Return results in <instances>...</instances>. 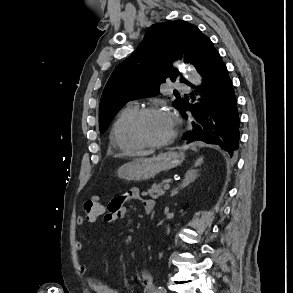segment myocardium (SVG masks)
Instances as JSON below:
<instances>
[{
  "label": "myocardium",
  "instance_id": "f54148a6",
  "mask_svg": "<svg viewBox=\"0 0 293 293\" xmlns=\"http://www.w3.org/2000/svg\"><path fill=\"white\" fill-rule=\"evenodd\" d=\"M160 111L166 112L170 115L172 122H173V130H172L171 135L168 138H166L162 141L152 142V141L148 140L143 135L142 130H141V125H142V122L146 116H148L152 113L160 112ZM177 126H178V122H177L176 118L173 116V114L170 113L169 111H166L162 107H158V106L142 107L137 110V112L135 113V115L132 118L131 134L134 139H136L138 142H140L145 147L160 148V147H164V146L168 145L169 143H171L174 140V138L176 137V134H177Z\"/></svg>",
  "mask_w": 293,
  "mask_h": 293
}]
</instances>
